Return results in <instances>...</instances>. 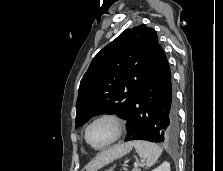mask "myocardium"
<instances>
[{
    "label": "myocardium",
    "mask_w": 223,
    "mask_h": 171,
    "mask_svg": "<svg viewBox=\"0 0 223 171\" xmlns=\"http://www.w3.org/2000/svg\"><path fill=\"white\" fill-rule=\"evenodd\" d=\"M101 120L111 121L114 124L116 131H115V135L113 136V138L110 141H108L106 144H104L102 146L97 147V146L92 145L89 142L88 131L93 124H95L96 122L101 121ZM124 129H125V122L120 116L113 114V113H103V114H100V115L94 117L86 125L85 130H84V140L91 148H93L95 150H102V149H105V148L109 147L110 145L114 144L122 136Z\"/></svg>",
    "instance_id": "f54148a6"
}]
</instances>
